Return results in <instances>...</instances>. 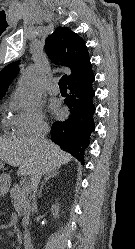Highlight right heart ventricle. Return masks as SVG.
<instances>
[{"instance_id":"1","label":"right heart ventricle","mask_w":135,"mask_h":249,"mask_svg":"<svg viewBox=\"0 0 135 249\" xmlns=\"http://www.w3.org/2000/svg\"><path fill=\"white\" fill-rule=\"evenodd\" d=\"M11 125V122L10 121H7L6 122V126L9 127Z\"/></svg>"}]
</instances>
